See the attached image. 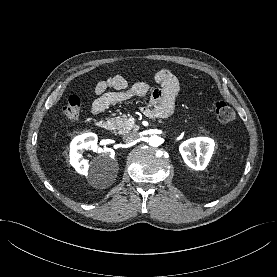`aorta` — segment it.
Segmentation results:
<instances>
[{
    "label": "aorta",
    "mask_w": 277,
    "mask_h": 277,
    "mask_svg": "<svg viewBox=\"0 0 277 277\" xmlns=\"http://www.w3.org/2000/svg\"><path fill=\"white\" fill-rule=\"evenodd\" d=\"M148 143L152 147H158L161 144V138L157 135H153L149 138Z\"/></svg>",
    "instance_id": "aorta-1"
}]
</instances>
